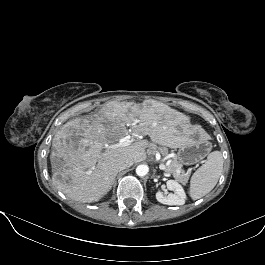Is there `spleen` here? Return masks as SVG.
<instances>
[{"label":"spleen","mask_w":265,"mask_h":265,"mask_svg":"<svg viewBox=\"0 0 265 265\" xmlns=\"http://www.w3.org/2000/svg\"><path fill=\"white\" fill-rule=\"evenodd\" d=\"M223 170V157L220 151H213L205 163L191 177L189 194L197 200L208 194L217 184Z\"/></svg>","instance_id":"1"}]
</instances>
